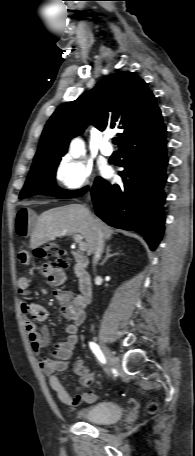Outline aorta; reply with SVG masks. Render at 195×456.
I'll return each instance as SVG.
<instances>
[{
    "label": "aorta",
    "mask_w": 195,
    "mask_h": 456,
    "mask_svg": "<svg viewBox=\"0 0 195 456\" xmlns=\"http://www.w3.org/2000/svg\"><path fill=\"white\" fill-rule=\"evenodd\" d=\"M83 149H84V142L79 138L74 139L70 145V154L73 157L77 158L80 156Z\"/></svg>",
    "instance_id": "1"
}]
</instances>
